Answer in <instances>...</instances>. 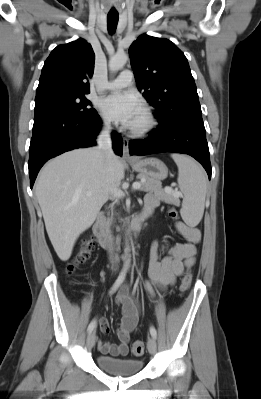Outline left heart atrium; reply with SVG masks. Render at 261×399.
<instances>
[{"mask_svg":"<svg viewBox=\"0 0 261 399\" xmlns=\"http://www.w3.org/2000/svg\"><path fill=\"white\" fill-rule=\"evenodd\" d=\"M99 107L109 119L132 127L143 114V107L139 99L130 92H116L103 98Z\"/></svg>","mask_w":261,"mask_h":399,"instance_id":"39dd6f15","label":"left heart atrium"}]
</instances>
